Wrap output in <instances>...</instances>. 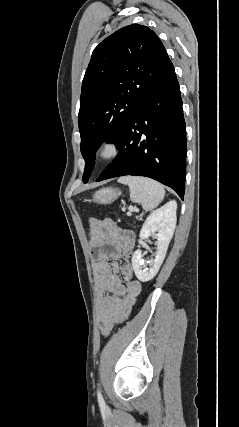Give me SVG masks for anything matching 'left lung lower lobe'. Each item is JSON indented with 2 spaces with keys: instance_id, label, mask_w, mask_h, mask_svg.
Wrapping results in <instances>:
<instances>
[{
  "instance_id": "1",
  "label": "left lung lower lobe",
  "mask_w": 239,
  "mask_h": 427,
  "mask_svg": "<svg viewBox=\"0 0 239 427\" xmlns=\"http://www.w3.org/2000/svg\"><path fill=\"white\" fill-rule=\"evenodd\" d=\"M118 156L97 181L134 175L171 187L183 200L186 125L174 67L142 98L118 144Z\"/></svg>"
}]
</instances>
